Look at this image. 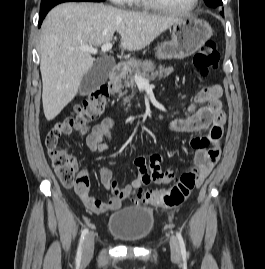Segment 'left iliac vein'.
I'll list each match as a JSON object with an SVG mask.
<instances>
[{
	"mask_svg": "<svg viewBox=\"0 0 265 269\" xmlns=\"http://www.w3.org/2000/svg\"><path fill=\"white\" fill-rule=\"evenodd\" d=\"M169 243H170V250H171L172 258L179 259L180 248H179V243H178L177 238L175 236H171Z\"/></svg>",
	"mask_w": 265,
	"mask_h": 269,
	"instance_id": "obj_1",
	"label": "left iliac vein"
}]
</instances>
